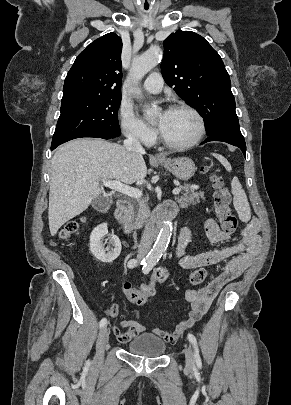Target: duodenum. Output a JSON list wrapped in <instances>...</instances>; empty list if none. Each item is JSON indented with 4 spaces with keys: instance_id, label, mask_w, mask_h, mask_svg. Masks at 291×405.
Segmentation results:
<instances>
[{
    "instance_id": "1",
    "label": "duodenum",
    "mask_w": 291,
    "mask_h": 405,
    "mask_svg": "<svg viewBox=\"0 0 291 405\" xmlns=\"http://www.w3.org/2000/svg\"><path fill=\"white\" fill-rule=\"evenodd\" d=\"M132 205L131 202L127 199H122L118 202L116 211H115V220L120 226L122 232L126 235L131 233V227L128 222V217L131 211ZM176 215V209L171 205H164L158 212L157 218V230L160 226L174 218Z\"/></svg>"
}]
</instances>
